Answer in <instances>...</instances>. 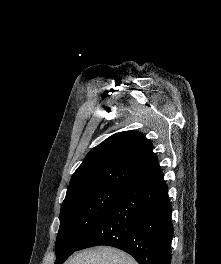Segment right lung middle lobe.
Wrapping results in <instances>:
<instances>
[{
    "label": "right lung middle lobe",
    "mask_w": 221,
    "mask_h": 264,
    "mask_svg": "<svg viewBox=\"0 0 221 264\" xmlns=\"http://www.w3.org/2000/svg\"><path fill=\"white\" fill-rule=\"evenodd\" d=\"M125 187L99 185L65 197L60 211L55 264H61L78 249L104 219Z\"/></svg>",
    "instance_id": "1"
}]
</instances>
